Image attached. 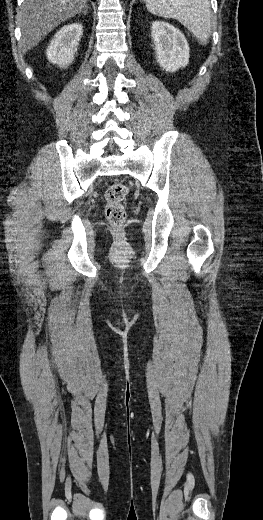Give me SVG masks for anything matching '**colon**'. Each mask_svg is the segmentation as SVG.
I'll return each instance as SVG.
<instances>
[{"label": "colon", "instance_id": "5ec220e1", "mask_svg": "<svg viewBox=\"0 0 263 520\" xmlns=\"http://www.w3.org/2000/svg\"><path fill=\"white\" fill-rule=\"evenodd\" d=\"M128 189L121 182L111 183L105 191V215L110 224L120 228L126 221V209L123 201Z\"/></svg>", "mask_w": 263, "mask_h": 520}]
</instances>
